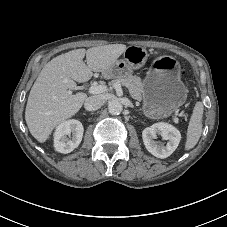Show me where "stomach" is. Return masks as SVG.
Instances as JSON below:
<instances>
[{
    "label": "stomach",
    "mask_w": 227,
    "mask_h": 227,
    "mask_svg": "<svg viewBox=\"0 0 227 227\" xmlns=\"http://www.w3.org/2000/svg\"><path fill=\"white\" fill-rule=\"evenodd\" d=\"M148 59V52L141 46H129L123 59L117 60L103 72L106 78H124L141 68ZM188 89L181 81L180 65L171 56L154 60L143 82V113L151 119L167 118L182 106Z\"/></svg>",
    "instance_id": "0dacf381"
}]
</instances>
